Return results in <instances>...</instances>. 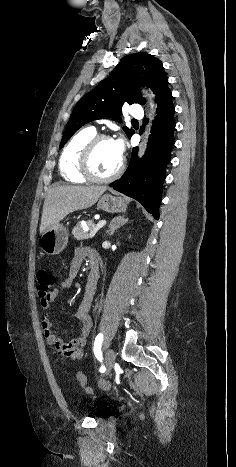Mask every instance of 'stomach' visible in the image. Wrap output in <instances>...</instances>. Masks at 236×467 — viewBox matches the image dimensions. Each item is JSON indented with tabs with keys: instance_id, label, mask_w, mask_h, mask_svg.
Wrapping results in <instances>:
<instances>
[{
	"instance_id": "1",
	"label": "stomach",
	"mask_w": 236,
	"mask_h": 467,
	"mask_svg": "<svg viewBox=\"0 0 236 467\" xmlns=\"http://www.w3.org/2000/svg\"><path fill=\"white\" fill-rule=\"evenodd\" d=\"M97 208L108 213L125 212L127 205L121 197L110 194L101 196ZM68 243V233L62 224H56L48 228L41 236L40 247L48 255H56L62 252Z\"/></svg>"
}]
</instances>
